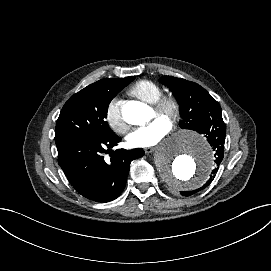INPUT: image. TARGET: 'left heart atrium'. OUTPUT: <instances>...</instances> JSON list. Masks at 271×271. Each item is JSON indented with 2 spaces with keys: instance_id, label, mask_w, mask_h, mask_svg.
Here are the masks:
<instances>
[{
  "instance_id": "obj_1",
  "label": "left heart atrium",
  "mask_w": 271,
  "mask_h": 271,
  "mask_svg": "<svg viewBox=\"0 0 271 271\" xmlns=\"http://www.w3.org/2000/svg\"><path fill=\"white\" fill-rule=\"evenodd\" d=\"M171 132V125L163 118H156L149 124L134 128L127 136L133 147L148 148L160 143Z\"/></svg>"
}]
</instances>
